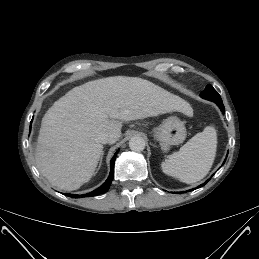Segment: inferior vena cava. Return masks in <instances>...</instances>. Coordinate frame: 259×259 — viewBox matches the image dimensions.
Masks as SVG:
<instances>
[{"label":"inferior vena cava","instance_id":"obj_1","mask_svg":"<svg viewBox=\"0 0 259 259\" xmlns=\"http://www.w3.org/2000/svg\"><path fill=\"white\" fill-rule=\"evenodd\" d=\"M96 141H97L98 143H102V144L108 143V142L110 141V135H109V133H107V132L100 133V134L96 137Z\"/></svg>","mask_w":259,"mask_h":259}]
</instances>
